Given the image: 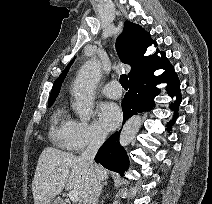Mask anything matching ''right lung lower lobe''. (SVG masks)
Listing matches in <instances>:
<instances>
[{"instance_id": "1", "label": "right lung lower lobe", "mask_w": 212, "mask_h": 204, "mask_svg": "<svg viewBox=\"0 0 212 204\" xmlns=\"http://www.w3.org/2000/svg\"><path fill=\"white\" fill-rule=\"evenodd\" d=\"M166 71L162 74L161 79L153 75L154 70L146 72L136 80L129 82V92L126 93L122 101V109L124 114V122L132 115L148 111L154 106V97L159 94L156 85L165 82L168 84L167 90L171 96H176L177 99L171 105L172 109L177 111L181 102L180 82L177 74L171 65L163 67ZM174 116V120L177 118ZM174 121L168 123L170 128ZM119 132H115L99 149L95 156V161L100 163L105 168L119 173L121 176L129 167V160L126 151L119 143Z\"/></svg>"}]
</instances>
